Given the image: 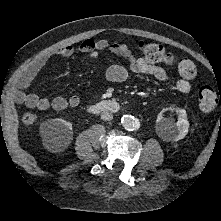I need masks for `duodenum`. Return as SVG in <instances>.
<instances>
[{
  "mask_svg": "<svg viewBox=\"0 0 221 221\" xmlns=\"http://www.w3.org/2000/svg\"><path fill=\"white\" fill-rule=\"evenodd\" d=\"M120 110V105L115 100H102L88 106L91 113L111 112L115 113Z\"/></svg>",
  "mask_w": 221,
  "mask_h": 221,
  "instance_id": "obj_1",
  "label": "duodenum"
}]
</instances>
